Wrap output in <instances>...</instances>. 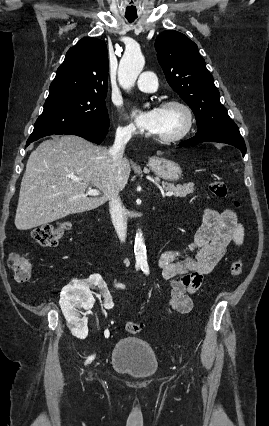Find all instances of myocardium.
I'll list each match as a JSON object with an SVG mask.
<instances>
[{
  "mask_svg": "<svg viewBox=\"0 0 269 426\" xmlns=\"http://www.w3.org/2000/svg\"><path fill=\"white\" fill-rule=\"evenodd\" d=\"M176 107L183 111L185 115V124L183 128L176 134L171 136H156L154 139L161 143L171 144L176 143L184 139L191 131L194 124V115L191 108L184 102L179 100H168L162 104V108Z\"/></svg>",
  "mask_w": 269,
  "mask_h": 426,
  "instance_id": "1",
  "label": "myocardium"
}]
</instances>
